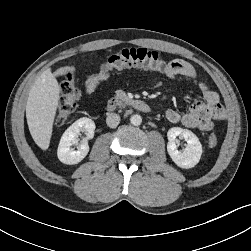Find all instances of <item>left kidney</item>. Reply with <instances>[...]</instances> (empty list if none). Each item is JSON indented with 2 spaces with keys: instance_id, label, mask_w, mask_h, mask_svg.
<instances>
[{
  "instance_id": "left-kidney-1",
  "label": "left kidney",
  "mask_w": 251,
  "mask_h": 251,
  "mask_svg": "<svg viewBox=\"0 0 251 251\" xmlns=\"http://www.w3.org/2000/svg\"><path fill=\"white\" fill-rule=\"evenodd\" d=\"M178 136L187 142L183 151L177 149ZM167 137V152L178 167L189 169L198 164L202 155V145L193 132L180 127H172L168 130Z\"/></svg>"
}]
</instances>
